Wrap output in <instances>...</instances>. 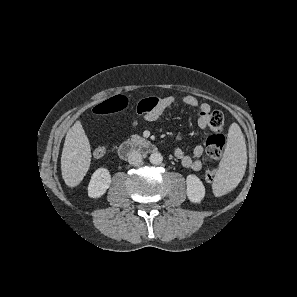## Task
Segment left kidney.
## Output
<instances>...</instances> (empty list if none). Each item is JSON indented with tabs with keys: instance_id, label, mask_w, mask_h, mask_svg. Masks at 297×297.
<instances>
[{
	"instance_id": "1",
	"label": "left kidney",
	"mask_w": 297,
	"mask_h": 297,
	"mask_svg": "<svg viewBox=\"0 0 297 297\" xmlns=\"http://www.w3.org/2000/svg\"><path fill=\"white\" fill-rule=\"evenodd\" d=\"M187 196L193 203H200L205 196V187L202 181L194 174H190L186 178Z\"/></svg>"
}]
</instances>
